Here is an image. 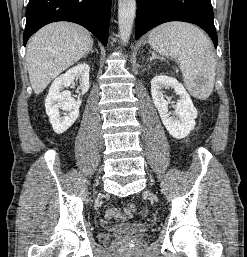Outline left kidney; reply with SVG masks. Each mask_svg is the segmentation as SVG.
<instances>
[{"label": "left kidney", "mask_w": 247, "mask_h": 257, "mask_svg": "<svg viewBox=\"0 0 247 257\" xmlns=\"http://www.w3.org/2000/svg\"><path fill=\"white\" fill-rule=\"evenodd\" d=\"M169 87L173 88L175 93L180 96V100L176 104L171 102L174 108L173 113L168 110L170 102L165 99L163 91ZM151 94L153 103L169 134L176 139L188 136L195 127L197 110L184 86L173 77L158 75L151 81Z\"/></svg>", "instance_id": "left-kidney-1"}]
</instances>
